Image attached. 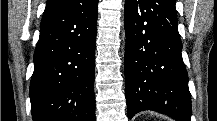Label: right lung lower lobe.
<instances>
[{
    "label": "right lung lower lobe",
    "mask_w": 217,
    "mask_h": 121,
    "mask_svg": "<svg viewBox=\"0 0 217 121\" xmlns=\"http://www.w3.org/2000/svg\"><path fill=\"white\" fill-rule=\"evenodd\" d=\"M98 0L47 6L30 84L33 121H95Z\"/></svg>",
    "instance_id": "right-lung-lower-lobe-1"
}]
</instances>
